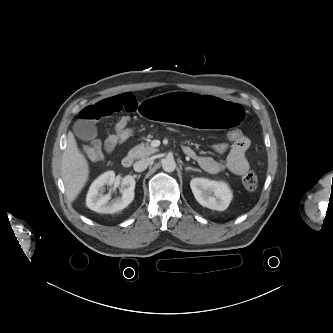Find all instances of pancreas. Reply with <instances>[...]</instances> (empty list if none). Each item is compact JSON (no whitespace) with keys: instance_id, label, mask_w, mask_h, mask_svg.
<instances>
[{"instance_id":"obj_1","label":"pancreas","mask_w":333,"mask_h":333,"mask_svg":"<svg viewBox=\"0 0 333 333\" xmlns=\"http://www.w3.org/2000/svg\"><path fill=\"white\" fill-rule=\"evenodd\" d=\"M157 151H158L157 148L150 146L148 143L147 144L141 143L133 147L129 151V155L137 159H144Z\"/></svg>"}]
</instances>
